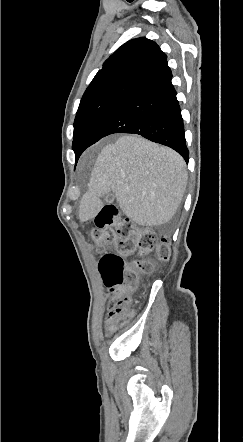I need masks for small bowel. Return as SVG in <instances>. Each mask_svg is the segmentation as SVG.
<instances>
[{
    "mask_svg": "<svg viewBox=\"0 0 243 442\" xmlns=\"http://www.w3.org/2000/svg\"><path fill=\"white\" fill-rule=\"evenodd\" d=\"M106 327L107 329L111 330L115 327V322H114V314L112 311L109 312V315L106 319Z\"/></svg>",
    "mask_w": 243,
    "mask_h": 442,
    "instance_id": "1",
    "label": "small bowel"
}]
</instances>
